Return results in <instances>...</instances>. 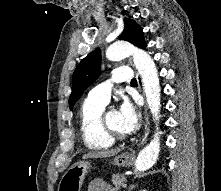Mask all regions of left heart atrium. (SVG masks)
I'll use <instances>...</instances> for the list:
<instances>
[{"instance_id": "39dd6f15", "label": "left heart atrium", "mask_w": 221, "mask_h": 191, "mask_svg": "<svg viewBox=\"0 0 221 191\" xmlns=\"http://www.w3.org/2000/svg\"><path fill=\"white\" fill-rule=\"evenodd\" d=\"M120 125L124 133H133L139 125V115L130 100H124L120 106Z\"/></svg>"}]
</instances>
